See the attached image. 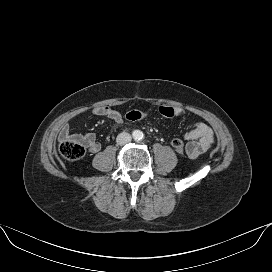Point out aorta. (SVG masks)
Here are the masks:
<instances>
[{
	"label": "aorta",
	"instance_id": "obj_1",
	"mask_svg": "<svg viewBox=\"0 0 272 272\" xmlns=\"http://www.w3.org/2000/svg\"><path fill=\"white\" fill-rule=\"evenodd\" d=\"M132 136L135 140H140L143 137V133L140 130H134Z\"/></svg>",
	"mask_w": 272,
	"mask_h": 272
}]
</instances>
